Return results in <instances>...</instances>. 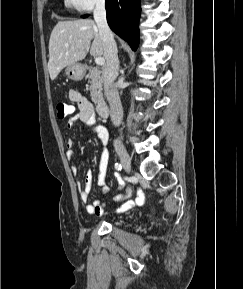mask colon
<instances>
[{
	"instance_id": "colon-1",
	"label": "colon",
	"mask_w": 243,
	"mask_h": 289,
	"mask_svg": "<svg viewBox=\"0 0 243 289\" xmlns=\"http://www.w3.org/2000/svg\"><path fill=\"white\" fill-rule=\"evenodd\" d=\"M56 109H57V115L61 119L67 118L74 111V108L65 102L58 103L56 106Z\"/></svg>"
}]
</instances>
